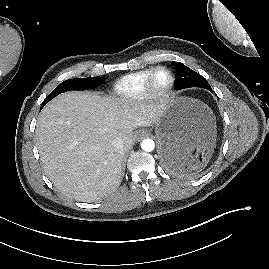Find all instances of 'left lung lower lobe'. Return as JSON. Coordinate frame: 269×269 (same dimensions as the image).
Here are the masks:
<instances>
[{
  "instance_id": "left-lung-lower-lobe-1",
  "label": "left lung lower lobe",
  "mask_w": 269,
  "mask_h": 269,
  "mask_svg": "<svg viewBox=\"0 0 269 269\" xmlns=\"http://www.w3.org/2000/svg\"><path fill=\"white\" fill-rule=\"evenodd\" d=\"M212 92V91H211ZM180 160V151L176 145H165L163 148L162 163L163 165L172 171H182L178 168Z\"/></svg>"
}]
</instances>
